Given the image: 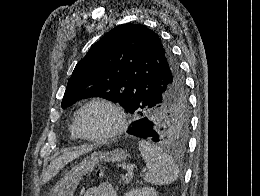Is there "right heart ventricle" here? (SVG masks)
<instances>
[{
  "label": "right heart ventricle",
  "instance_id": "e07e8e85",
  "mask_svg": "<svg viewBox=\"0 0 260 196\" xmlns=\"http://www.w3.org/2000/svg\"><path fill=\"white\" fill-rule=\"evenodd\" d=\"M70 133H71V136H72V138H73L74 140L80 139V137H79L77 131L75 130L73 124H72L71 127H70Z\"/></svg>",
  "mask_w": 260,
  "mask_h": 196
}]
</instances>
